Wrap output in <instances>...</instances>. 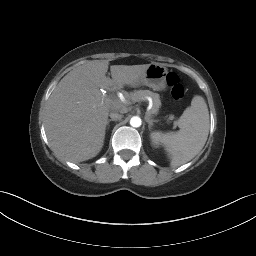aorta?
<instances>
[{
	"label": "aorta",
	"instance_id": "aorta-1",
	"mask_svg": "<svg viewBox=\"0 0 256 256\" xmlns=\"http://www.w3.org/2000/svg\"><path fill=\"white\" fill-rule=\"evenodd\" d=\"M141 124H142V121H141L140 117H138V116H134V117H132L130 119V125L132 127H136L137 128V127H140Z\"/></svg>",
	"mask_w": 256,
	"mask_h": 256
}]
</instances>
